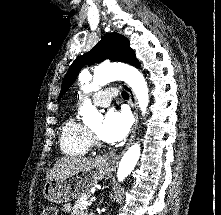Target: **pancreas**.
Listing matches in <instances>:
<instances>
[{"instance_id":"obj_1","label":"pancreas","mask_w":221,"mask_h":215,"mask_svg":"<svg viewBox=\"0 0 221 215\" xmlns=\"http://www.w3.org/2000/svg\"><path fill=\"white\" fill-rule=\"evenodd\" d=\"M89 198V194L83 195L79 200L76 201L74 208L75 209H86L89 207L92 202H87L86 200Z\"/></svg>"}]
</instances>
